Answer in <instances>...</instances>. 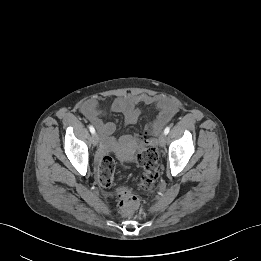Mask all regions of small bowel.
<instances>
[{"label":"small bowel","mask_w":261,"mask_h":261,"mask_svg":"<svg viewBox=\"0 0 261 261\" xmlns=\"http://www.w3.org/2000/svg\"><path fill=\"white\" fill-rule=\"evenodd\" d=\"M140 104L155 107L159 110L157 120L151 128L152 132H156L166 124L178 110L177 103L171 98L148 94H127L116 97L111 102L110 110L121 114L126 124H135L140 117ZM81 112L106 141V145L103 147V151H105L111 144L108 138L115 132L116 126L113 122L103 120L105 110L101 107L100 99L91 98L86 100L81 106Z\"/></svg>","instance_id":"c3829d8e"}]
</instances>
